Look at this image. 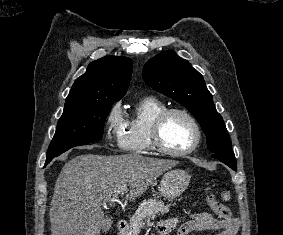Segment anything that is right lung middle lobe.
<instances>
[{"mask_svg": "<svg viewBox=\"0 0 283 235\" xmlns=\"http://www.w3.org/2000/svg\"><path fill=\"white\" fill-rule=\"evenodd\" d=\"M115 102L65 103L47 151L46 163L72 147L101 140L105 119Z\"/></svg>", "mask_w": 283, "mask_h": 235, "instance_id": "dd1d6c3e", "label": "right lung middle lobe"}]
</instances>
